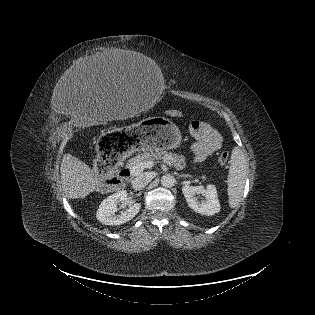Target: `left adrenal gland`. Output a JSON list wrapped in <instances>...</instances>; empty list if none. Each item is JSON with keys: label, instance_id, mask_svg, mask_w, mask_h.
Returning a JSON list of instances; mask_svg holds the SVG:
<instances>
[{"label": "left adrenal gland", "instance_id": "obj_1", "mask_svg": "<svg viewBox=\"0 0 315 315\" xmlns=\"http://www.w3.org/2000/svg\"><path fill=\"white\" fill-rule=\"evenodd\" d=\"M180 178H182V177H191V175H189V174H182V175H178Z\"/></svg>", "mask_w": 315, "mask_h": 315}]
</instances>
